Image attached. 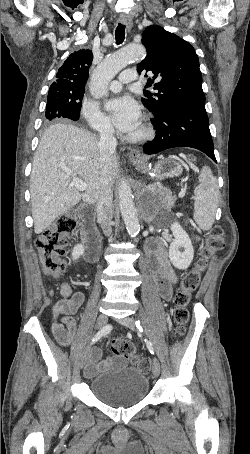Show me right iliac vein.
<instances>
[{
	"instance_id": "obj_1",
	"label": "right iliac vein",
	"mask_w": 250,
	"mask_h": 454,
	"mask_svg": "<svg viewBox=\"0 0 250 454\" xmlns=\"http://www.w3.org/2000/svg\"><path fill=\"white\" fill-rule=\"evenodd\" d=\"M107 321H108V318L106 315L104 314H100L98 317H97V320H96V326L97 328H101V327H104L106 324H107ZM90 352H91V346H87L84 351L82 352L81 356H80V368L82 369L90 355Z\"/></svg>"
}]
</instances>
